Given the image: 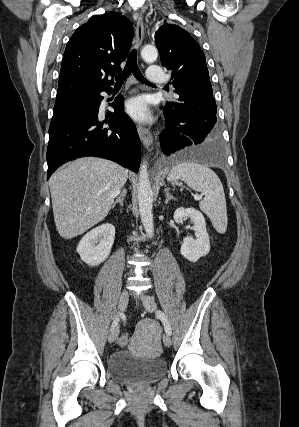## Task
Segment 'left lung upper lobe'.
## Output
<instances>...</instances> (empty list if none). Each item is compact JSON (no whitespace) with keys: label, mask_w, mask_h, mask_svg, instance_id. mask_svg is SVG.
I'll use <instances>...</instances> for the list:
<instances>
[{"label":"left lung upper lobe","mask_w":299,"mask_h":427,"mask_svg":"<svg viewBox=\"0 0 299 427\" xmlns=\"http://www.w3.org/2000/svg\"><path fill=\"white\" fill-rule=\"evenodd\" d=\"M155 43L162 65L175 76L173 86L179 98L208 104L216 114L206 58L196 40L177 25L163 24L156 31ZM173 105L167 102L165 107Z\"/></svg>","instance_id":"left-lung-upper-lobe-1"}]
</instances>
